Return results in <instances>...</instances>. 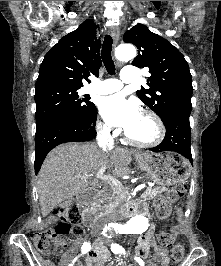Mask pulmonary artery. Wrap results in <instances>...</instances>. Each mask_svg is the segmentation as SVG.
Wrapping results in <instances>:
<instances>
[{"mask_svg":"<svg viewBox=\"0 0 221 266\" xmlns=\"http://www.w3.org/2000/svg\"><path fill=\"white\" fill-rule=\"evenodd\" d=\"M138 78V68L136 66L127 65L123 68L120 80L118 79H104L97 82L89 88L91 93L106 95L119 91L123 83L136 82Z\"/></svg>","mask_w":221,"mask_h":266,"instance_id":"obj_1","label":"pulmonary artery"}]
</instances>
